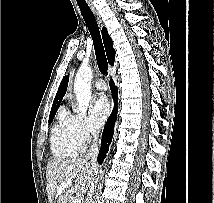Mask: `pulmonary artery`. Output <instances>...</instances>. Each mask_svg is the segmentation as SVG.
I'll return each mask as SVG.
<instances>
[{
  "label": "pulmonary artery",
  "mask_w": 214,
  "mask_h": 203,
  "mask_svg": "<svg viewBox=\"0 0 214 203\" xmlns=\"http://www.w3.org/2000/svg\"><path fill=\"white\" fill-rule=\"evenodd\" d=\"M94 86L97 90L99 91H105L107 89V86H106V83L103 81V80H97L95 83H94Z\"/></svg>",
  "instance_id": "obj_1"
}]
</instances>
